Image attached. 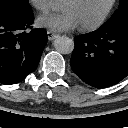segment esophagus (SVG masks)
Masks as SVG:
<instances>
[{
    "label": "esophagus",
    "mask_w": 128,
    "mask_h": 128,
    "mask_svg": "<svg viewBox=\"0 0 128 128\" xmlns=\"http://www.w3.org/2000/svg\"><path fill=\"white\" fill-rule=\"evenodd\" d=\"M58 35L52 31H47L48 40H54Z\"/></svg>",
    "instance_id": "obj_1"
}]
</instances>
